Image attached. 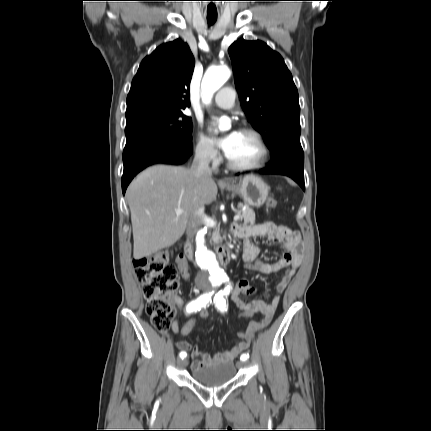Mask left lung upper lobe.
<instances>
[{
	"label": "left lung upper lobe",
	"mask_w": 431,
	"mask_h": 431,
	"mask_svg": "<svg viewBox=\"0 0 431 431\" xmlns=\"http://www.w3.org/2000/svg\"><path fill=\"white\" fill-rule=\"evenodd\" d=\"M243 111L264 137L271 158L303 153L297 88L283 58L262 41L234 42L229 50Z\"/></svg>",
	"instance_id": "1"
}]
</instances>
